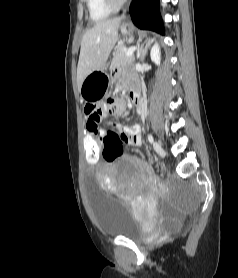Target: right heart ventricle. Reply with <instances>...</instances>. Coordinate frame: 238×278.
Wrapping results in <instances>:
<instances>
[{"label":"right heart ventricle","mask_w":238,"mask_h":278,"mask_svg":"<svg viewBox=\"0 0 238 278\" xmlns=\"http://www.w3.org/2000/svg\"><path fill=\"white\" fill-rule=\"evenodd\" d=\"M89 17L93 22H99L108 18L111 14L103 0H86Z\"/></svg>","instance_id":"obj_1"}]
</instances>
